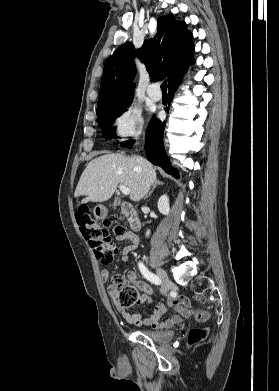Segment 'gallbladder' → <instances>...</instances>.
Masks as SVG:
<instances>
[{"mask_svg": "<svg viewBox=\"0 0 279 391\" xmlns=\"http://www.w3.org/2000/svg\"><path fill=\"white\" fill-rule=\"evenodd\" d=\"M120 204V201L118 199H115L114 200V205H119Z\"/></svg>", "mask_w": 279, "mask_h": 391, "instance_id": "bac80fb5", "label": "gallbladder"}]
</instances>
